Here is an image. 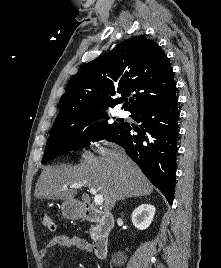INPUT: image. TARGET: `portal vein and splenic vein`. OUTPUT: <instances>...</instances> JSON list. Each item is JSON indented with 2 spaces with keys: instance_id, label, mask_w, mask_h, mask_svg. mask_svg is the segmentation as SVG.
<instances>
[{
  "instance_id": "portal-vein-and-splenic-vein-1",
  "label": "portal vein and splenic vein",
  "mask_w": 221,
  "mask_h": 268,
  "mask_svg": "<svg viewBox=\"0 0 221 268\" xmlns=\"http://www.w3.org/2000/svg\"><path fill=\"white\" fill-rule=\"evenodd\" d=\"M83 186H84V184H82V183H74V184L70 185V188L78 189V188H82ZM90 193L92 195H94V203H95V205H101L103 203V196L100 195V194H97V190L95 188H91Z\"/></svg>"
}]
</instances>
